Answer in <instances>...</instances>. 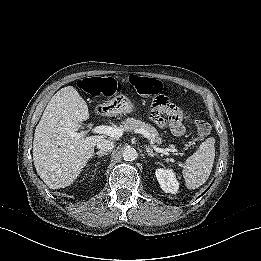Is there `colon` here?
Segmentation results:
<instances>
[{"label":"colon","instance_id":"1","mask_svg":"<svg viewBox=\"0 0 261 261\" xmlns=\"http://www.w3.org/2000/svg\"><path fill=\"white\" fill-rule=\"evenodd\" d=\"M131 83L139 94L153 97L152 111L160 119H163L161 114H165L169 120V127L175 134L181 135L185 132V127L182 123L183 113L161 93L162 84L158 80L149 77L132 76ZM78 87L92 96H112L118 90V83L112 78L91 77L80 80ZM195 122L202 134L208 133L209 125L206 121L196 119Z\"/></svg>","mask_w":261,"mask_h":261}]
</instances>
